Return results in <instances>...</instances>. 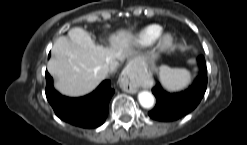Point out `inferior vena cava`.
<instances>
[{
    "mask_svg": "<svg viewBox=\"0 0 247 145\" xmlns=\"http://www.w3.org/2000/svg\"><path fill=\"white\" fill-rule=\"evenodd\" d=\"M108 71H109V67H108V65H105V66L103 67V72H104V74L107 75Z\"/></svg>",
    "mask_w": 247,
    "mask_h": 145,
    "instance_id": "1",
    "label": "inferior vena cava"
}]
</instances>
